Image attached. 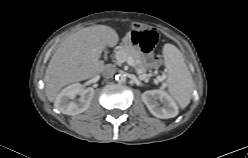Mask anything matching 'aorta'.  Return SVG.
Here are the masks:
<instances>
[{"mask_svg":"<svg viewBox=\"0 0 248 158\" xmlns=\"http://www.w3.org/2000/svg\"><path fill=\"white\" fill-rule=\"evenodd\" d=\"M116 80H118V81H120V82H125L126 77H125L124 75H118V76L116 77Z\"/></svg>","mask_w":248,"mask_h":158,"instance_id":"1","label":"aorta"}]
</instances>
